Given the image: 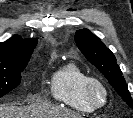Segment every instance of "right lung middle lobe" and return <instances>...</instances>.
Returning <instances> with one entry per match:
<instances>
[{"label":"right lung middle lobe","mask_w":133,"mask_h":118,"mask_svg":"<svg viewBox=\"0 0 133 118\" xmlns=\"http://www.w3.org/2000/svg\"><path fill=\"white\" fill-rule=\"evenodd\" d=\"M27 63L12 67H0V98L17 87L21 81V72Z\"/></svg>","instance_id":"right-lung-middle-lobe-1"}]
</instances>
